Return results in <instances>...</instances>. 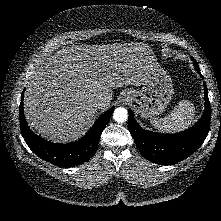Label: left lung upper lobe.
I'll use <instances>...</instances> for the list:
<instances>
[{
    "mask_svg": "<svg viewBox=\"0 0 221 221\" xmlns=\"http://www.w3.org/2000/svg\"><path fill=\"white\" fill-rule=\"evenodd\" d=\"M192 61H193V64H194L195 68H198V64H197V62L194 60V58H192Z\"/></svg>",
    "mask_w": 221,
    "mask_h": 221,
    "instance_id": "obj_1",
    "label": "left lung upper lobe"
}]
</instances>
